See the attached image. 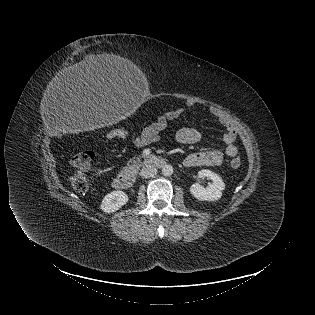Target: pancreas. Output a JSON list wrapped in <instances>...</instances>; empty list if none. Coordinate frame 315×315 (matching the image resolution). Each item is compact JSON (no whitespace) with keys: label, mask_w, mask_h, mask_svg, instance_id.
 Wrapping results in <instances>:
<instances>
[{"label":"pancreas","mask_w":315,"mask_h":315,"mask_svg":"<svg viewBox=\"0 0 315 315\" xmlns=\"http://www.w3.org/2000/svg\"><path fill=\"white\" fill-rule=\"evenodd\" d=\"M129 162H132V160H130ZM128 167L137 168L138 165L135 162H133V164H128Z\"/></svg>","instance_id":"1"}]
</instances>
